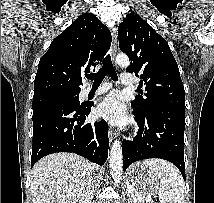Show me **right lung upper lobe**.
<instances>
[{"instance_id": "right-lung-upper-lobe-1", "label": "right lung upper lobe", "mask_w": 214, "mask_h": 203, "mask_svg": "<svg viewBox=\"0 0 214 203\" xmlns=\"http://www.w3.org/2000/svg\"><path fill=\"white\" fill-rule=\"evenodd\" d=\"M111 45V33L91 14L80 15L50 44L39 61L34 98L79 93L81 76L95 70Z\"/></svg>"}]
</instances>
